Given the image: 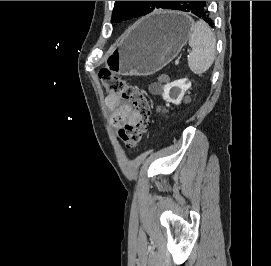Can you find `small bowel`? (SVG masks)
Instances as JSON below:
<instances>
[{
  "mask_svg": "<svg viewBox=\"0 0 271 266\" xmlns=\"http://www.w3.org/2000/svg\"><path fill=\"white\" fill-rule=\"evenodd\" d=\"M106 104L112 111L111 122L115 127H122L125 124H133L138 120L137 113L133 110L132 106L119 97L108 95Z\"/></svg>",
  "mask_w": 271,
  "mask_h": 266,
  "instance_id": "obj_1",
  "label": "small bowel"
}]
</instances>
